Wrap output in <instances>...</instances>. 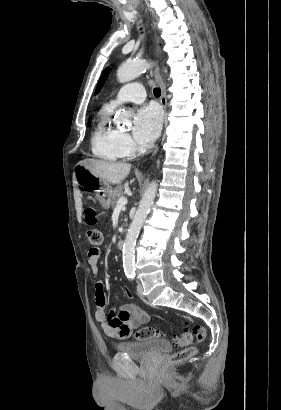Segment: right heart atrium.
I'll list each match as a JSON object with an SVG mask.
<instances>
[{
  "label": "right heart atrium",
  "instance_id": "1",
  "mask_svg": "<svg viewBox=\"0 0 281 410\" xmlns=\"http://www.w3.org/2000/svg\"><path fill=\"white\" fill-rule=\"evenodd\" d=\"M121 142L127 155H132L136 152L137 147L128 134L121 133Z\"/></svg>",
  "mask_w": 281,
  "mask_h": 410
}]
</instances>
